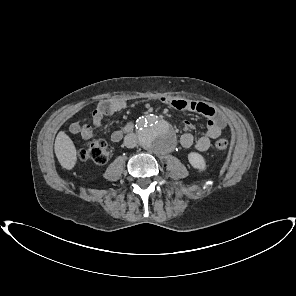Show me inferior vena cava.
I'll return each instance as SVG.
<instances>
[{
  "instance_id": "602c4592",
  "label": "inferior vena cava",
  "mask_w": 296,
  "mask_h": 296,
  "mask_svg": "<svg viewBox=\"0 0 296 296\" xmlns=\"http://www.w3.org/2000/svg\"><path fill=\"white\" fill-rule=\"evenodd\" d=\"M138 143L137 136L134 133L127 134L124 138V145L127 148H134Z\"/></svg>"
}]
</instances>
